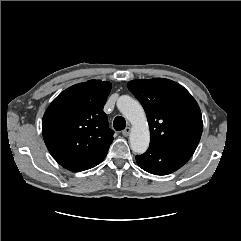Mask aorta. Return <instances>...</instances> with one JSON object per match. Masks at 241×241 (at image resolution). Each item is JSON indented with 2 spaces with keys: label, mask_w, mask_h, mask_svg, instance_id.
I'll list each match as a JSON object with an SVG mask.
<instances>
[{
  "label": "aorta",
  "mask_w": 241,
  "mask_h": 241,
  "mask_svg": "<svg viewBox=\"0 0 241 241\" xmlns=\"http://www.w3.org/2000/svg\"><path fill=\"white\" fill-rule=\"evenodd\" d=\"M117 107L132 124L129 137L132 151L143 154L150 143V131L141 104L129 96H121L117 101Z\"/></svg>",
  "instance_id": "aorta-1"
}]
</instances>
